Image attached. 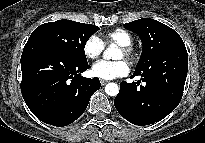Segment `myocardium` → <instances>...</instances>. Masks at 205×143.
Instances as JSON below:
<instances>
[{"mask_svg":"<svg viewBox=\"0 0 205 143\" xmlns=\"http://www.w3.org/2000/svg\"><path fill=\"white\" fill-rule=\"evenodd\" d=\"M119 49L123 52V57L131 64L135 63L138 58V52L132 45H122Z\"/></svg>","mask_w":205,"mask_h":143,"instance_id":"1","label":"myocardium"}]
</instances>
